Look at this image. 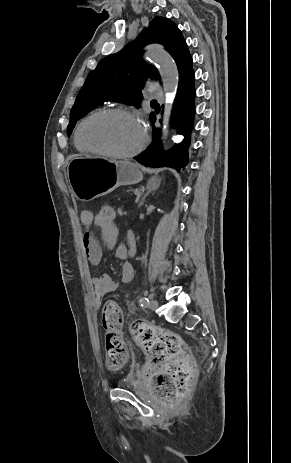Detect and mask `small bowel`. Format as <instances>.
Segmentation results:
<instances>
[{
	"label": "small bowel",
	"instance_id": "obj_1",
	"mask_svg": "<svg viewBox=\"0 0 291 463\" xmlns=\"http://www.w3.org/2000/svg\"><path fill=\"white\" fill-rule=\"evenodd\" d=\"M81 223L85 226L86 231L82 236L83 249L86 258L92 265H98L101 261L102 250L99 242L96 240L91 228L98 227L96 214L90 210L81 212ZM101 238L108 248H114L115 256L118 259L125 260L121 268V282L130 283L134 278V267L129 260L135 253V243L132 233H129V244L116 245L118 238V226H107L106 229H100ZM91 283L94 288V296L99 303L107 294L114 292L118 288V283L107 274H97L91 277Z\"/></svg>",
	"mask_w": 291,
	"mask_h": 463
}]
</instances>
